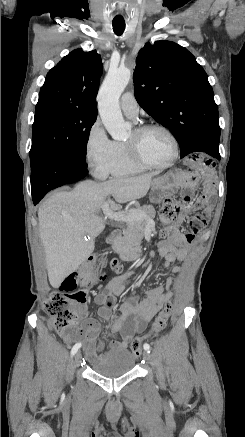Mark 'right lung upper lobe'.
<instances>
[{
  "label": "right lung upper lobe",
  "instance_id": "right-lung-upper-lobe-1",
  "mask_svg": "<svg viewBox=\"0 0 245 437\" xmlns=\"http://www.w3.org/2000/svg\"><path fill=\"white\" fill-rule=\"evenodd\" d=\"M102 74L101 56L76 49L47 74L36 107L61 105L96 113V95Z\"/></svg>",
  "mask_w": 245,
  "mask_h": 437
}]
</instances>
